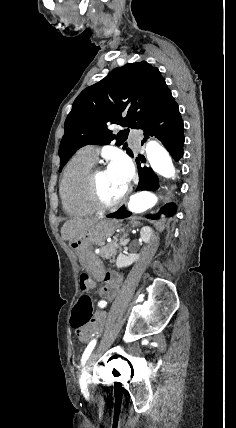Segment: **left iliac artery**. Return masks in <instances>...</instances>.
I'll return each mask as SVG.
<instances>
[{
    "label": "left iliac artery",
    "mask_w": 236,
    "mask_h": 428,
    "mask_svg": "<svg viewBox=\"0 0 236 428\" xmlns=\"http://www.w3.org/2000/svg\"><path fill=\"white\" fill-rule=\"evenodd\" d=\"M106 304H107V302H105V301H101V302L99 303V306H100L101 308H103V307H105V306H106ZM95 345H96V340L94 339V340H92V341L89 343V345H88V346H87V348L85 349V351H84V353H83V355H82V359H81V363H82V365H83V366H84V364L86 363L87 359L89 358V356H90L91 352L93 351V349H94ZM85 376H86V372H85V371H83V373H82V377H85Z\"/></svg>",
    "instance_id": "44dca946"
}]
</instances>
